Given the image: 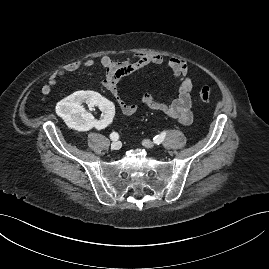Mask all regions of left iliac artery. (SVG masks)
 Wrapping results in <instances>:
<instances>
[{"label":"left iliac artery","mask_w":269,"mask_h":269,"mask_svg":"<svg viewBox=\"0 0 269 269\" xmlns=\"http://www.w3.org/2000/svg\"><path fill=\"white\" fill-rule=\"evenodd\" d=\"M165 136H166V131H163L161 134L153 138L154 143L160 144L164 140Z\"/></svg>","instance_id":"44dca946"}]
</instances>
